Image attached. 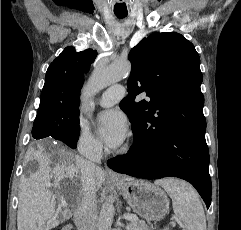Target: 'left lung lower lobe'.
Masks as SVG:
<instances>
[{"label":"left lung lower lobe","instance_id":"left-lung-lower-lobe-1","mask_svg":"<svg viewBox=\"0 0 241 230\" xmlns=\"http://www.w3.org/2000/svg\"><path fill=\"white\" fill-rule=\"evenodd\" d=\"M133 134L129 153L107 162L111 169L144 179H184L197 189L209 208L211 179L205 133L172 130L158 140H150L134 129Z\"/></svg>","mask_w":241,"mask_h":230}]
</instances>
